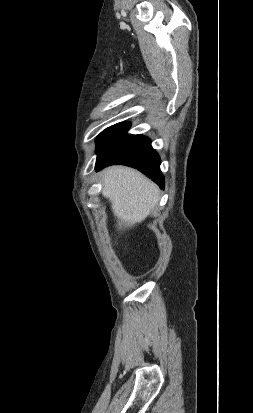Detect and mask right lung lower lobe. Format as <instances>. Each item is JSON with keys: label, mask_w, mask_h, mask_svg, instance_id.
I'll return each instance as SVG.
<instances>
[{"label": "right lung lower lobe", "mask_w": 253, "mask_h": 413, "mask_svg": "<svg viewBox=\"0 0 253 413\" xmlns=\"http://www.w3.org/2000/svg\"><path fill=\"white\" fill-rule=\"evenodd\" d=\"M122 164L138 169L164 188V177L160 171V157L151 146L149 138L132 135L108 155L96 161L95 169Z\"/></svg>", "instance_id": "98d812e1"}]
</instances>
